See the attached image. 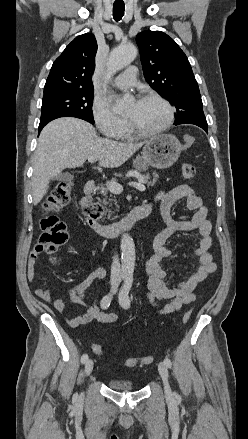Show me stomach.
Returning <instances> with one entry per match:
<instances>
[{
  "label": "stomach",
  "instance_id": "0dacf381",
  "mask_svg": "<svg viewBox=\"0 0 248 439\" xmlns=\"http://www.w3.org/2000/svg\"><path fill=\"white\" fill-rule=\"evenodd\" d=\"M182 145L179 140L169 134L151 138L144 146L142 160L147 165L158 169L172 166L180 156Z\"/></svg>",
  "mask_w": 248,
  "mask_h": 439
}]
</instances>
